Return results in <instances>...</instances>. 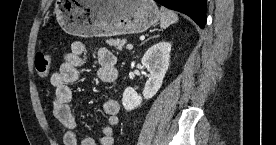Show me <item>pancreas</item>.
Instances as JSON below:
<instances>
[{
    "mask_svg": "<svg viewBox=\"0 0 276 145\" xmlns=\"http://www.w3.org/2000/svg\"><path fill=\"white\" fill-rule=\"evenodd\" d=\"M107 44L114 47L118 51H122L124 44L126 43L125 39H108Z\"/></svg>",
    "mask_w": 276,
    "mask_h": 145,
    "instance_id": "pancreas-1",
    "label": "pancreas"
}]
</instances>
